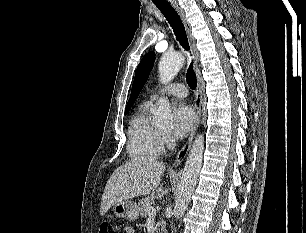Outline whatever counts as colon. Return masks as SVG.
<instances>
[{
	"mask_svg": "<svg viewBox=\"0 0 306 233\" xmlns=\"http://www.w3.org/2000/svg\"><path fill=\"white\" fill-rule=\"evenodd\" d=\"M99 233H116V231H115V229H114L112 224H110V223H103L100 226ZM124 233H134V232H133V230H127Z\"/></svg>",
	"mask_w": 306,
	"mask_h": 233,
	"instance_id": "1",
	"label": "colon"
}]
</instances>
